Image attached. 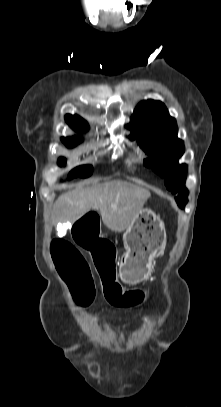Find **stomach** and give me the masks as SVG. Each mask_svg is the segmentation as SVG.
I'll return each mask as SVG.
<instances>
[{"label":"stomach","mask_w":221,"mask_h":407,"mask_svg":"<svg viewBox=\"0 0 221 407\" xmlns=\"http://www.w3.org/2000/svg\"><path fill=\"white\" fill-rule=\"evenodd\" d=\"M126 251L119 263L122 280L136 284L145 280L155 258L166 246L164 223L151 209L142 208L137 218L123 235Z\"/></svg>","instance_id":"obj_1"}]
</instances>
